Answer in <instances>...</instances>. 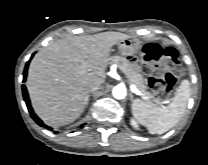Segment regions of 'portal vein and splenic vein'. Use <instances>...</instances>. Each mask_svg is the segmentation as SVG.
Segmentation results:
<instances>
[{
	"mask_svg": "<svg viewBox=\"0 0 208 165\" xmlns=\"http://www.w3.org/2000/svg\"><path fill=\"white\" fill-rule=\"evenodd\" d=\"M130 89L136 95L142 96L143 99L148 100V98L146 96H144L142 94V92L136 87V85L133 82H131V81H130Z\"/></svg>",
	"mask_w": 208,
	"mask_h": 165,
	"instance_id": "18ae733b",
	"label": "portal vein and splenic vein"
}]
</instances>
